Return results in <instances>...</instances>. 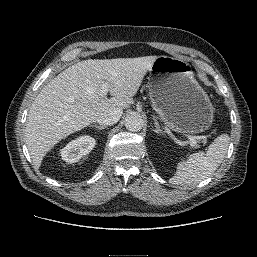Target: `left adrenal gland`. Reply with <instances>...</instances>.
Returning a JSON list of instances; mask_svg holds the SVG:
<instances>
[{
  "mask_svg": "<svg viewBox=\"0 0 257 257\" xmlns=\"http://www.w3.org/2000/svg\"><path fill=\"white\" fill-rule=\"evenodd\" d=\"M153 120H154V124L156 127V129H154V131L158 134H164V131L160 128V125H159L157 119L155 118V116H153Z\"/></svg>",
  "mask_w": 257,
  "mask_h": 257,
  "instance_id": "a2214340",
  "label": "left adrenal gland"
}]
</instances>
